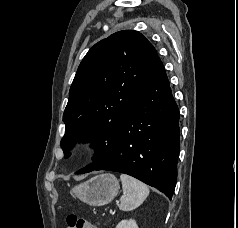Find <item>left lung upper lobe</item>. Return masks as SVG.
Wrapping results in <instances>:
<instances>
[{
  "mask_svg": "<svg viewBox=\"0 0 238 228\" xmlns=\"http://www.w3.org/2000/svg\"><path fill=\"white\" fill-rule=\"evenodd\" d=\"M158 58L153 45L137 31L124 30L95 44L80 63L63 114L65 158L75 142L98 147L86 172L114 154L118 132L128 117Z\"/></svg>",
  "mask_w": 238,
  "mask_h": 228,
  "instance_id": "obj_1",
  "label": "left lung upper lobe"
}]
</instances>
